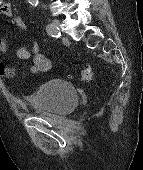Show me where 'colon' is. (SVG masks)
<instances>
[{"instance_id":"5ec220e1","label":"colon","mask_w":143,"mask_h":170,"mask_svg":"<svg viewBox=\"0 0 143 170\" xmlns=\"http://www.w3.org/2000/svg\"><path fill=\"white\" fill-rule=\"evenodd\" d=\"M80 78L84 81H89L92 78V70L86 66L81 69Z\"/></svg>"}]
</instances>
